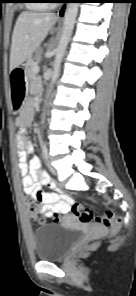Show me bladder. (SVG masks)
<instances>
[{
    "instance_id": "obj_1",
    "label": "bladder",
    "mask_w": 136,
    "mask_h": 296,
    "mask_svg": "<svg viewBox=\"0 0 136 296\" xmlns=\"http://www.w3.org/2000/svg\"><path fill=\"white\" fill-rule=\"evenodd\" d=\"M78 230L63 224H46L33 232L34 253L39 261H55L66 256L77 241Z\"/></svg>"
}]
</instances>
